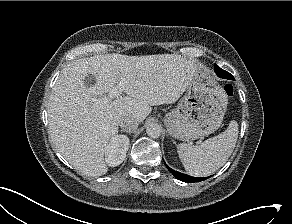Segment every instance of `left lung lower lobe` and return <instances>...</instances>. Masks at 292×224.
I'll return each mask as SVG.
<instances>
[{
    "label": "left lung lower lobe",
    "instance_id": "1",
    "mask_svg": "<svg viewBox=\"0 0 292 224\" xmlns=\"http://www.w3.org/2000/svg\"><path fill=\"white\" fill-rule=\"evenodd\" d=\"M214 70L215 72L217 73L218 76H221V77H226L223 72H225L224 70H222L220 67L216 66L214 67ZM227 78V77H226ZM167 166V165H166ZM168 170L173 174V176L175 178H177L178 180L180 181H183V182H188V183H194V182H199V181H203L205 179H207V177L205 178H198V177H192V176H189V175H186V174H183V173H180L178 171H175L173 169H171L170 167H168ZM209 178V177H208Z\"/></svg>",
    "mask_w": 292,
    "mask_h": 224
}]
</instances>
